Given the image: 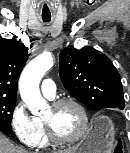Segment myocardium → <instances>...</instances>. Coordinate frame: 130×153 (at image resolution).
<instances>
[{"mask_svg":"<svg viewBox=\"0 0 130 153\" xmlns=\"http://www.w3.org/2000/svg\"><path fill=\"white\" fill-rule=\"evenodd\" d=\"M64 105L74 106L79 111V113L81 115V121H82L81 128L76 136H74L72 138L61 137L56 133L50 119L45 117V118H43V121H44V125L46 128L48 137L54 143L59 144V145H72V144H75V143H78L79 141H81L85 137V135L87 134V131L89 129V117H88V113H87L85 107L78 100H76L74 98L58 99L52 103L51 108L58 109Z\"/></svg>","mask_w":130,"mask_h":153,"instance_id":"myocardium-1","label":"myocardium"}]
</instances>
